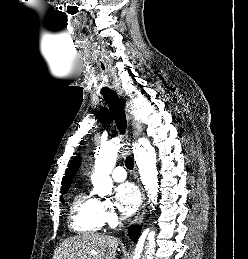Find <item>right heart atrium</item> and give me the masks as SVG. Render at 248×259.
I'll return each instance as SVG.
<instances>
[{"mask_svg":"<svg viewBox=\"0 0 248 259\" xmlns=\"http://www.w3.org/2000/svg\"><path fill=\"white\" fill-rule=\"evenodd\" d=\"M100 213L105 224L113 225L117 220V215L113 204L109 200L100 201Z\"/></svg>","mask_w":248,"mask_h":259,"instance_id":"d8ad5b80","label":"right heart atrium"}]
</instances>
